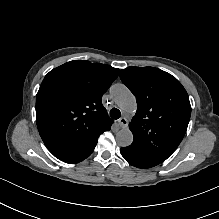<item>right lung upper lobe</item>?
Wrapping results in <instances>:
<instances>
[{
  "label": "right lung upper lobe",
  "instance_id": "obj_1",
  "mask_svg": "<svg viewBox=\"0 0 219 219\" xmlns=\"http://www.w3.org/2000/svg\"><path fill=\"white\" fill-rule=\"evenodd\" d=\"M118 73L110 65L73 60L45 76L36 96V121L51 153L88 149L110 130L113 120L102 96Z\"/></svg>",
  "mask_w": 219,
  "mask_h": 219
}]
</instances>
